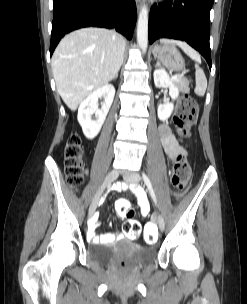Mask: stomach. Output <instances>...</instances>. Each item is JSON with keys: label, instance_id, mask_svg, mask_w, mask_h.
<instances>
[{"label": "stomach", "instance_id": "0dacf381", "mask_svg": "<svg viewBox=\"0 0 247 304\" xmlns=\"http://www.w3.org/2000/svg\"><path fill=\"white\" fill-rule=\"evenodd\" d=\"M152 52L154 57L168 69L181 71L185 68V61L175 44L162 43L155 45Z\"/></svg>", "mask_w": 247, "mask_h": 304}]
</instances>
